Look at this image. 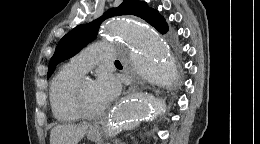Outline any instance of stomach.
Instances as JSON below:
<instances>
[{
    "mask_svg": "<svg viewBox=\"0 0 260 144\" xmlns=\"http://www.w3.org/2000/svg\"><path fill=\"white\" fill-rule=\"evenodd\" d=\"M86 136L89 140L91 141H97L100 139L101 137V133H100V130L99 129H89L86 133Z\"/></svg>",
    "mask_w": 260,
    "mask_h": 144,
    "instance_id": "stomach-1",
    "label": "stomach"
}]
</instances>
